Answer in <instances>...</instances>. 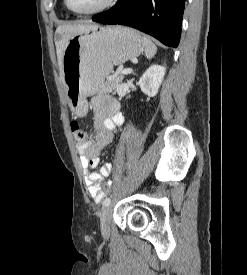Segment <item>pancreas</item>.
<instances>
[{
  "label": "pancreas",
  "mask_w": 247,
  "mask_h": 275,
  "mask_svg": "<svg viewBox=\"0 0 247 275\" xmlns=\"http://www.w3.org/2000/svg\"><path fill=\"white\" fill-rule=\"evenodd\" d=\"M124 77L125 76L123 74H118V75L112 76L111 78H108L102 85L100 89V93H111L115 91V89L122 82Z\"/></svg>",
  "instance_id": "pancreas-1"
}]
</instances>
